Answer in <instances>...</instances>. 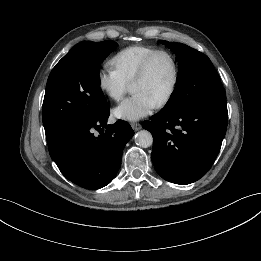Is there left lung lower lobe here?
I'll use <instances>...</instances> for the list:
<instances>
[{"label":"left lung lower lobe","instance_id":"1","mask_svg":"<svg viewBox=\"0 0 261 261\" xmlns=\"http://www.w3.org/2000/svg\"><path fill=\"white\" fill-rule=\"evenodd\" d=\"M226 100L185 113L161 110L143 123L153 135L152 162L157 173L175 184L204 176L214 163L227 128Z\"/></svg>","mask_w":261,"mask_h":261}]
</instances>
